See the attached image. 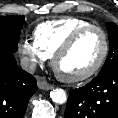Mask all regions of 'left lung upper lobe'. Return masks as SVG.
<instances>
[{"instance_id":"5c2ea615","label":"left lung upper lobe","mask_w":118,"mask_h":118,"mask_svg":"<svg viewBox=\"0 0 118 118\" xmlns=\"http://www.w3.org/2000/svg\"><path fill=\"white\" fill-rule=\"evenodd\" d=\"M109 35V55L99 74L118 68V26L115 23H106Z\"/></svg>"}]
</instances>
